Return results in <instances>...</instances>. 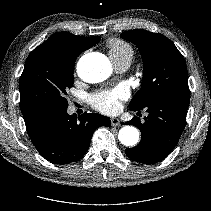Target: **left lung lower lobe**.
I'll return each mask as SVG.
<instances>
[{
    "label": "left lung lower lobe",
    "instance_id": "obj_1",
    "mask_svg": "<svg viewBox=\"0 0 211 211\" xmlns=\"http://www.w3.org/2000/svg\"><path fill=\"white\" fill-rule=\"evenodd\" d=\"M190 92H171L162 95L146 105L147 117L141 123L139 117L122 123L138 126L141 131L140 143L126 149L132 160L144 164L162 161L177 145L183 132ZM138 111L142 109H132Z\"/></svg>",
    "mask_w": 211,
    "mask_h": 211
}]
</instances>
